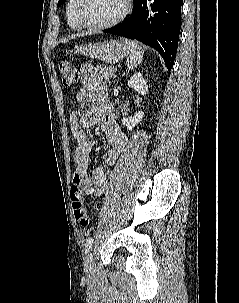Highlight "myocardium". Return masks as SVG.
I'll return each instance as SVG.
<instances>
[{
  "label": "myocardium",
  "instance_id": "1",
  "mask_svg": "<svg viewBox=\"0 0 239 303\" xmlns=\"http://www.w3.org/2000/svg\"><path fill=\"white\" fill-rule=\"evenodd\" d=\"M81 2L82 0H74L73 15L76 22L81 28L90 29V30H102V29L113 27L121 23L132 11V0H124V9L116 18L105 23L91 24L85 22L80 15L79 8Z\"/></svg>",
  "mask_w": 239,
  "mask_h": 303
}]
</instances>
